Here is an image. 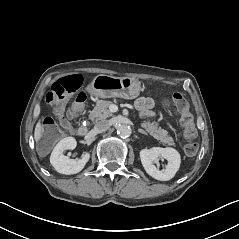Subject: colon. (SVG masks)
<instances>
[{
    "instance_id": "colon-1",
    "label": "colon",
    "mask_w": 239,
    "mask_h": 239,
    "mask_svg": "<svg viewBox=\"0 0 239 239\" xmlns=\"http://www.w3.org/2000/svg\"><path fill=\"white\" fill-rule=\"evenodd\" d=\"M81 84L82 78L80 75H68L55 82L47 95V102L57 107V116L63 128H69L70 122L76 119L83 109L86 101V94L80 92L77 94L68 112L66 114L63 112V105L66 99L74 94L80 88ZM172 103L180 113V123L184 128V137L186 140L184 150L187 155H194L198 150V145L196 143L197 132L188 102L180 93H175L172 96ZM43 131L45 138L49 142L56 141L63 135L60 127L51 118L45 120Z\"/></svg>"
}]
</instances>
